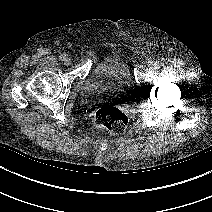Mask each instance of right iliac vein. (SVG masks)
<instances>
[{"mask_svg": "<svg viewBox=\"0 0 212 212\" xmlns=\"http://www.w3.org/2000/svg\"><path fill=\"white\" fill-rule=\"evenodd\" d=\"M71 59L69 57H66L64 60L65 65L69 66L71 64Z\"/></svg>", "mask_w": 212, "mask_h": 212, "instance_id": "obj_1", "label": "right iliac vein"}]
</instances>
